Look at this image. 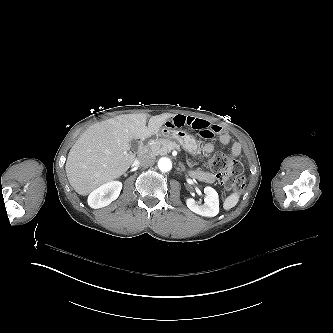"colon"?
<instances>
[{
    "label": "colon",
    "mask_w": 333,
    "mask_h": 333,
    "mask_svg": "<svg viewBox=\"0 0 333 333\" xmlns=\"http://www.w3.org/2000/svg\"><path fill=\"white\" fill-rule=\"evenodd\" d=\"M207 167L216 173V181L225 192H241L245 187L243 165L225 151H217L206 161Z\"/></svg>",
    "instance_id": "obj_1"
}]
</instances>
